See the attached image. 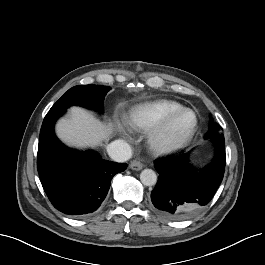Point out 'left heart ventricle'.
I'll return each instance as SVG.
<instances>
[{"label": "left heart ventricle", "mask_w": 265, "mask_h": 265, "mask_svg": "<svg viewBox=\"0 0 265 265\" xmlns=\"http://www.w3.org/2000/svg\"><path fill=\"white\" fill-rule=\"evenodd\" d=\"M194 123V116L190 112L183 113L175 118L172 123V132L177 136L186 134Z\"/></svg>", "instance_id": "1"}]
</instances>
